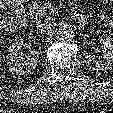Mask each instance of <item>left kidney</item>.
Segmentation results:
<instances>
[{
  "instance_id": "obj_1",
  "label": "left kidney",
  "mask_w": 113,
  "mask_h": 113,
  "mask_svg": "<svg viewBox=\"0 0 113 113\" xmlns=\"http://www.w3.org/2000/svg\"><path fill=\"white\" fill-rule=\"evenodd\" d=\"M104 47L102 60H96L95 57L89 52L84 53L87 65L93 70H108L113 68V38L105 37L102 40Z\"/></svg>"
}]
</instances>
